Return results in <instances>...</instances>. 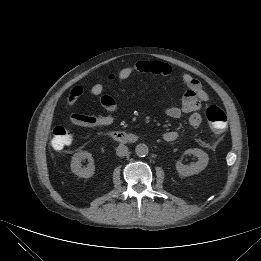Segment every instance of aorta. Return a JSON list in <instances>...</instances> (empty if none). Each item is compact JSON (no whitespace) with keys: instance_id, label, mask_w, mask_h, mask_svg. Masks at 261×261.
Listing matches in <instances>:
<instances>
[{"instance_id":"aorta-1","label":"aorta","mask_w":261,"mask_h":261,"mask_svg":"<svg viewBox=\"0 0 261 261\" xmlns=\"http://www.w3.org/2000/svg\"><path fill=\"white\" fill-rule=\"evenodd\" d=\"M136 155L139 157H145L148 155V146L146 144H138L135 148Z\"/></svg>"}]
</instances>
